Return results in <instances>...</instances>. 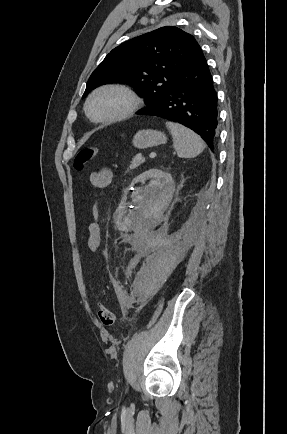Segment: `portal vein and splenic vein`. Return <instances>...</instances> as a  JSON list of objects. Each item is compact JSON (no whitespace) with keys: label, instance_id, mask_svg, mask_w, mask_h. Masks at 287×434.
<instances>
[{"label":"portal vein and splenic vein","instance_id":"18ae733b","mask_svg":"<svg viewBox=\"0 0 287 434\" xmlns=\"http://www.w3.org/2000/svg\"><path fill=\"white\" fill-rule=\"evenodd\" d=\"M149 157H150V158H154V157H156V153H154V152L150 153Z\"/></svg>","mask_w":287,"mask_h":434}]
</instances>
